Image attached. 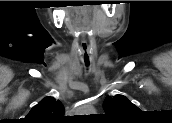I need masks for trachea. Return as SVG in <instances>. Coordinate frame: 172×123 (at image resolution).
Masks as SVG:
<instances>
[{
	"label": "trachea",
	"mask_w": 172,
	"mask_h": 123,
	"mask_svg": "<svg viewBox=\"0 0 172 123\" xmlns=\"http://www.w3.org/2000/svg\"><path fill=\"white\" fill-rule=\"evenodd\" d=\"M85 57L87 58L88 57V54L86 52V49H85ZM86 65L88 66L89 65V62H86Z\"/></svg>",
	"instance_id": "3493384b"
}]
</instances>
